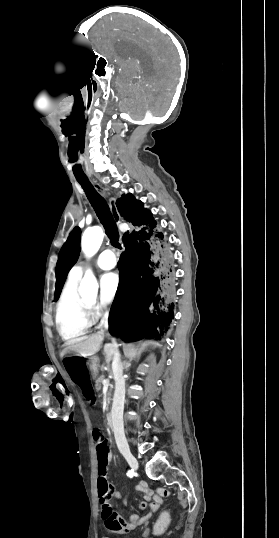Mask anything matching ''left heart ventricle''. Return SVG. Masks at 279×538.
Wrapping results in <instances>:
<instances>
[{
    "label": "left heart ventricle",
    "instance_id": "1",
    "mask_svg": "<svg viewBox=\"0 0 279 538\" xmlns=\"http://www.w3.org/2000/svg\"><path fill=\"white\" fill-rule=\"evenodd\" d=\"M89 300H94L96 297H87Z\"/></svg>",
    "mask_w": 279,
    "mask_h": 538
}]
</instances>
